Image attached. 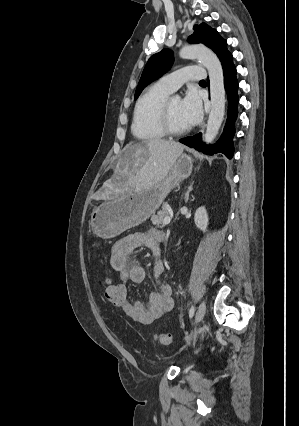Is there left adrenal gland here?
<instances>
[{
    "label": "left adrenal gland",
    "mask_w": 299,
    "mask_h": 426,
    "mask_svg": "<svg viewBox=\"0 0 299 426\" xmlns=\"http://www.w3.org/2000/svg\"><path fill=\"white\" fill-rule=\"evenodd\" d=\"M193 190V182L188 186L187 192L185 193V202H188L189 199V193Z\"/></svg>",
    "instance_id": "a2214340"
}]
</instances>
